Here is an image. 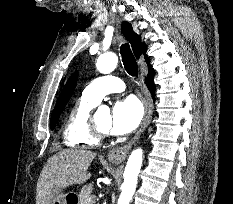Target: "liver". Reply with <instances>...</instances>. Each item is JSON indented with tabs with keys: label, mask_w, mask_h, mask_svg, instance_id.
<instances>
[{
	"label": "liver",
	"mask_w": 233,
	"mask_h": 204,
	"mask_svg": "<svg viewBox=\"0 0 233 204\" xmlns=\"http://www.w3.org/2000/svg\"><path fill=\"white\" fill-rule=\"evenodd\" d=\"M96 153L81 149H65L50 157L42 169L36 188V204H51L63 189L83 184Z\"/></svg>",
	"instance_id": "1"
}]
</instances>
